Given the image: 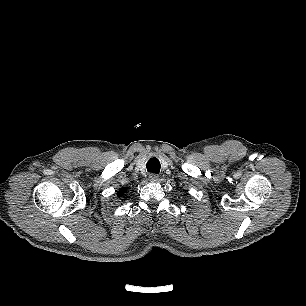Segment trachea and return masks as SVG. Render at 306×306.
Listing matches in <instances>:
<instances>
[{"label": "trachea", "instance_id": "trachea-1", "mask_svg": "<svg viewBox=\"0 0 306 306\" xmlns=\"http://www.w3.org/2000/svg\"><path fill=\"white\" fill-rule=\"evenodd\" d=\"M160 167V162L155 157L151 158L146 164L147 171L156 174L160 172Z\"/></svg>", "mask_w": 306, "mask_h": 306}]
</instances>
